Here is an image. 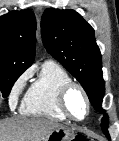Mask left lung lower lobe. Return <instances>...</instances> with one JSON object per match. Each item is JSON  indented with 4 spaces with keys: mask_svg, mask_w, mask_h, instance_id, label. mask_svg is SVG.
Segmentation results:
<instances>
[{
    "mask_svg": "<svg viewBox=\"0 0 119 141\" xmlns=\"http://www.w3.org/2000/svg\"><path fill=\"white\" fill-rule=\"evenodd\" d=\"M108 116L107 114L104 115V117L101 120V126H102V131L104 132V134L110 139L107 127H108Z\"/></svg>",
    "mask_w": 119,
    "mask_h": 141,
    "instance_id": "0a47b994",
    "label": "left lung lower lobe"
}]
</instances>
